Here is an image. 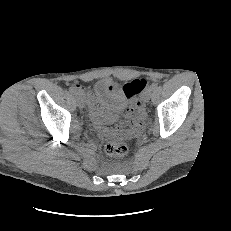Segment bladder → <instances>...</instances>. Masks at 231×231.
I'll list each match as a JSON object with an SVG mask.
<instances>
[{
    "mask_svg": "<svg viewBox=\"0 0 231 231\" xmlns=\"http://www.w3.org/2000/svg\"><path fill=\"white\" fill-rule=\"evenodd\" d=\"M94 91L99 102L110 111L120 112L127 106L126 94L109 79L98 80Z\"/></svg>",
    "mask_w": 231,
    "mask_h": 231,
    "instance_id": "31cf9c89",
    "label": "bladder"
}]
</instances>
